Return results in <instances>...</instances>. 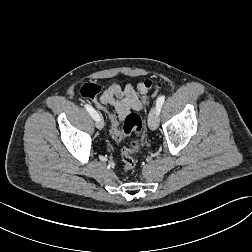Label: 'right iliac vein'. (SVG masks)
I'll use <instances>...</instances> for the list:
<instances>
[{"label": "right iliac vein", "mask_w": 252, "mask_h": 252, "mask_svg": "<svg viewBox=\"0 0 252 252\" xmlns=\"http://www.w3.org/2000/svg\"><path fill=\"white\" fill-rule=\"evenodd\" d=\"M96 127L99 130L103 129V127H104V121H103V119L101 117L96 121Z\"/></svg>", "instance_id": "63e3f726"}]
</instances>
